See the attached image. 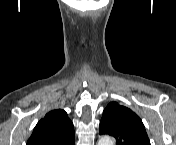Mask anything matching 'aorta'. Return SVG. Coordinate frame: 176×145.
Returning <instances> with one entry per match:
<instances>
[{"label":"aorta","instance_id":"obj_1","mask_svg":"<svg viewBox=\"0 0 176 145\" xmlns=\"http://www.w3.org/2000/svg\"><path fill=\"white\" fill-rule=\"evenodd\" d=\"M97 145H113V140L109 136L99 138Z\"/></svg>","mask_w":176,"mask_h":145}]
</instances>
